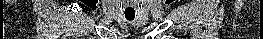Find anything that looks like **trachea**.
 <instances>
[{
    "mask_svg": "<svg viewBox=\"0 0 263 39\" xmlns=\"http://www.w3.org/2000/svg\"><path fill=\"white\" fill-rule=\"evenodd\" d=\"M127 20H129V21H131V20H133L134 18H126Z\"/></svg>",
    "mask_w": 263,
    "mask_h": 39,
    "instance_id": "obj_1",
    "label": "trachea"
}]
</instances>
